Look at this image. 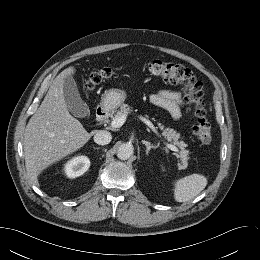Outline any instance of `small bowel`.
Wrapping results in <instances>:
<instances>
[{"instance_id": "c3829d8e", "label": "small bowel", "mask_w": 260, "mask_h": 260, "mask_svg": "<svg viewBox=\"0 0 260 260\" xmlns=\"http://www.w3.org/2000/svg\"><path fill=\"white\" fill-rule=\"evenodd\" d=\"M150 102L169 112L174 120L181 118V109L184 106L183 96L179 91L161 90L150 96Z\"/></svg>"}]
</instances>
